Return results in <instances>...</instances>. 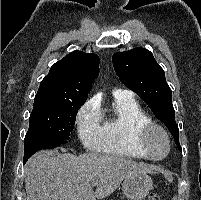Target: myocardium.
Listing matches in <instances>:
<instances>
[{
    "mask_svg": "<svg viewBox=\"0 0 201 200\" xmlns=\"http://www.w3.org/2000/svg\"><path fill=\"white\" fill-rule=\"evenodd\" d=\"M154 130L161 132L167 141V151L161 157L152 156L149 146H148V136ZM135 137H136V142H137L138 146L144 151L146 157L150 160H153V161L164 160L165 158L168 157V155L171 152L172 142H171L170 135H169L168 131L158 123L149 121L145 124L140 125L136 130Z\"/></svg>",
    "mask_w": 201,
    "mask_h": 200,
    "instance_id": "f54148a6",
    "label": "myocardium"
}]
</instances>
